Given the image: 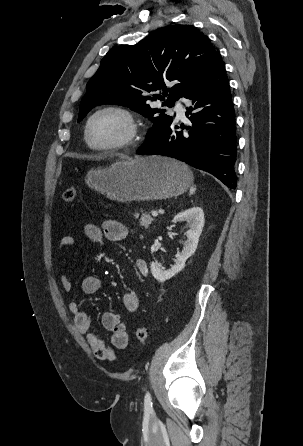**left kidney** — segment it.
Masks as SVG:
<instances>
[{"label": "left kidney", "mask_w": 303, "mask_h": 446, "mask_svg": "<svg viewBox=\"0 0 303 446\" xmlns=\"http://www.w3.org/2000/svg\"><path fill=\"white\" fill-rule=\"evenodd\" d=\"M182 221H187L190 229L186 231L187 240L184 242L182 252L176 255L175 264L167 270H163L157 262L150 264L153 277L160 282H164L180 272L184 268L186 260L196 251L205 222L202 208L192 207L174 217V222Z\"/></svg>", "instance_id": "1"}]
</instances>
